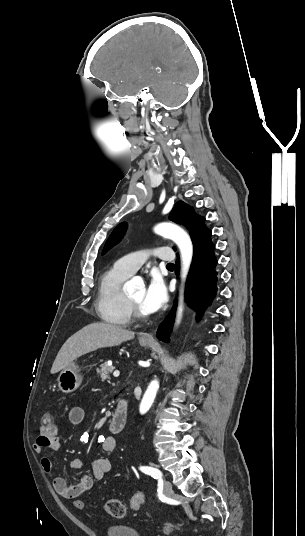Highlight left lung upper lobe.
I'll use <instances>...</instances> for the list:
<instances>
[{
	"instance_id": "1",
	"label": "left lung upper lobe",
	"mask_w": 305,
	"mask_h": 536,
	"mask_svg": "<svg viewBox=\"0 0 305 536\" xmlns=\"http://www.w3.org/2000/svg\"><path fill=\"white\" fill-rule=\"evenodd\" d=\"M170 219L176 223L182 224L190 231L192 242L208 230L204 225L205 218L197 215L192 207L182 201L175 204L170 213ZM125 229L126 224L122 223L113 230L104 246L103 254L121 240ZM174 250L176 249L174 248Z\"/></svg>"
}]
</instances>
